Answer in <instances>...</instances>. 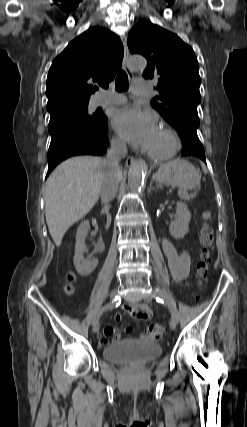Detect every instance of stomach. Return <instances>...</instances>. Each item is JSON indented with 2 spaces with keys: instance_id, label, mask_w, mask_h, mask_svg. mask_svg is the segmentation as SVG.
Returning <instances> with one entry per match:
<instances>
[{
  "instance_id": "0dacf381",
  "label": "stomach",
  "mask_w": 247,
  "mask_h": 427,
  "mask_svg": "<svg viewBox=\"0 0 247 427\" xmlns=\"http://www.w3.org/2000/svg\"><path fill=\"white\" fill-rule=\"evenodd\" d=\"M153 178L158 183L178 186L181 190L188 191L199 185L201 175L190 162L177 158L161 166Z\"/></svg>"
}]
</instances>
